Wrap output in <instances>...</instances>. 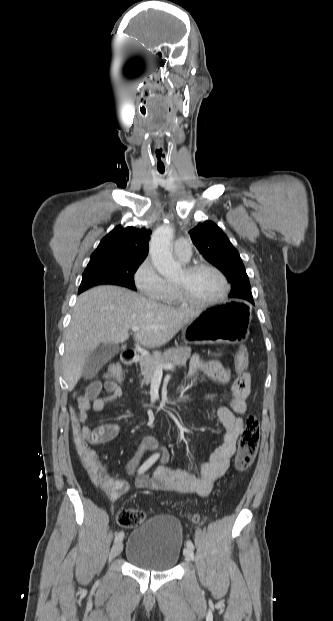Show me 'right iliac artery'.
I'll return each mask as SVG.
<instances>
[{
    "label": "right iliac artery",
    "instance_id": "1",
    "mask_svg": "<svg viewBox=\"0 0 333 621\" xmlns=\"http://www.w3.org/2000/svg\"><path fill=\"white\" fill-rule=\"evenodd\" d=\"M159 455L158 454H153L150 458H148L139 468L138 470V474H142L144 473L146 470H148L158 459ZM124 537V533L122 531H120L119 533L116 534L115 536V542L121 541Z\"/></svg>",
    "mask_w": 333,
    "mask_h": 621
}]
</instances>
